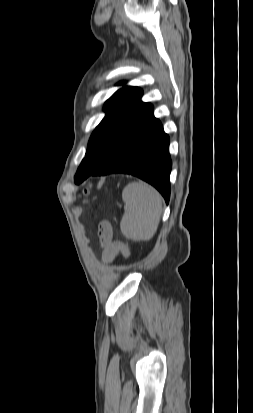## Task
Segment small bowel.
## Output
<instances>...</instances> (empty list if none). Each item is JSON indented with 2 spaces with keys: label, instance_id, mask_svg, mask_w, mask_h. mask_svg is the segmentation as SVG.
I'll use <instances>...</instances> for the list:
<instances>
[{
  "label": "small bowel",
  "instance_id": "small-bowel-1",
  "mask_svg": "<svg viewBox=\"0 0 253 413\" xmlns=\"http://www.w3.org/2000/svg\"><path fill=\"white\" fill-rule=\"evenodd\" d=\"M100 241L102 246V261L111 263L118 255L129 256V249L121 242L112 240L111 227L107 223H102L99 229Z\"/></svg>",
  "mask_w": 253,
  "mask_h": 413
}]
</instances>
